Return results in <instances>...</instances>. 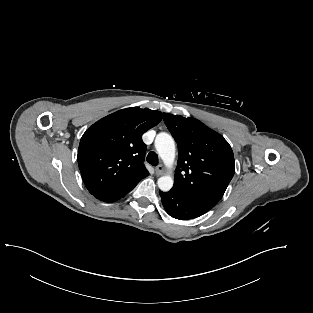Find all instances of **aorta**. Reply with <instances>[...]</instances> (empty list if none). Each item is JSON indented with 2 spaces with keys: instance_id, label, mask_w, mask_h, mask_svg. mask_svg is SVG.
I'll list each match as a JSON object with an SVG mask.
<instances>
[{
  "instance_id": "1",
  "label": "aorta",
  "mask_w": 313,
  "mask_h": 313,
  "mask_svg": "<svg viewBox=\"0 0 313 313\" xmlns=\"http://www.w3.org/2000/svg\"><path fill=\"white\" fill-rule=\"evenodd\" d=\"M155 148L164 162L169 167L175 160V142L171 135L162 132L155 139ZM158 187L162 191H169L173 186V178L170 175L162 176L157 181Z\"/></svg>"
}]
</instances>
